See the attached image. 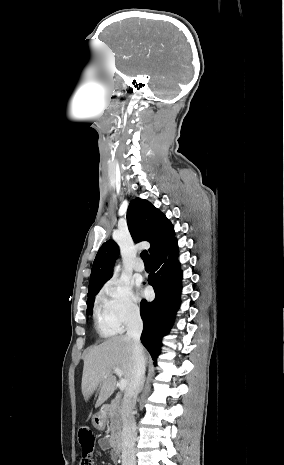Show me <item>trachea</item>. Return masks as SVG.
<instances>
[{"instance_id": "3493384b", "label": "trachea", "mask_w": 284, "mask_h": 465, "mask_svg": "<svg viewBox=\"0 0 284 465\" xmlns=\"http://www.w3.org/2000/svg\"><path fill=\"white\" fill-rule=\"evenodd\" d=\"M141 258L143 259L145 265H150L149 256L146 250L141 252Z\"/></svg>"}]
</instances>
